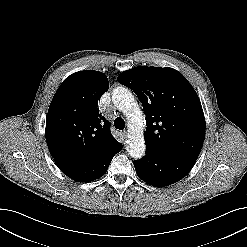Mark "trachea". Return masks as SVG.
I'll return each mask as SVG.
<instances>
[{"mask_svg": "<svg viewBox=\"0 0 247 247\" xmlns=\"http://www.w3.org/2000/svg\"><path fill=\"white\" fill-rule=\"evenodd\" d=\"M115 128L123 130L125 128V121L121 117H117L114 121Z\"/></svg>", "mask_w": 247, "mask_h": 247, "instance_id": "1", "label": "trachea"}]
</instances>
